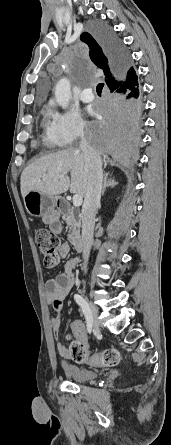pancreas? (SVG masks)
Listing matches in <instances>:
<instances>
[{"instance_id":"obj_1","label":"pancreas","mask_w":171,"mask_h":445,"mask_svg":"<svg viewBox=\"0 0 171 445\" xmlns=\"http://www.w3.org/2000/svg\"><path fill=\"white\" fill-rule=\"evenodd\" d=\"M62 218L69 228L68 240L71 243H75L80 238L81 221L79 215L73 207H69Z\"/></svg>"}]
</instances>
